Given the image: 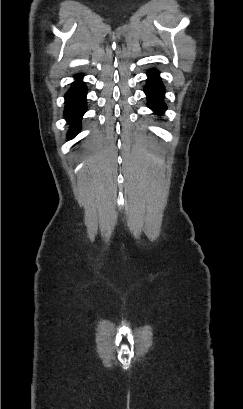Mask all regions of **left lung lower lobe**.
Masks as SVG:
<instances>
[{"mask_svg": "<svg viewBox=\"0 0 243 409\" xmlns=\"http://www.w3.org/2000/svg\"><path fill=\"white\" fill-rule=\"evenodd\" d=\"M147 74L149 78L144 91L148 98V106L154 112L163 113L166 109V106L163 103L165 93L164 86L160 82V78L156 70L152 69Z\"/></svg>", "mask_w": 243, "mask_h": 409, "instance_id": "left-lung-lower-lobe-1", "label": "left lung lower lobe"}]
</instances>
